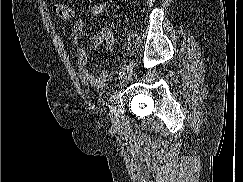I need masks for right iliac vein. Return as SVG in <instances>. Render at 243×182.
<instances>
[{
  "mask_svg": "<svg viewBox=\"0 0 243 182\" xmlns=\"http://www.w3.org/2000/svg\"><path fill=\"white\" fill-rule=\"evenodd\" d=\"M133 67H134V63L133 61L130 62V64L127 67V70L124 74V76L121 78V80L119 81V83L117 84L116 90L114 91L111 99H110V112H111V121L114 125H116L117 123V114H116V104H117V96H118V92L119 89L125 84L127 83V81L130 79L132 72H133Z\"/></svg>",
  "mask_w": 243,
  "mask_h": 182,
  "instance_id": "63e3f726",
  "label": "right iliac vein"
}]
</instances>
